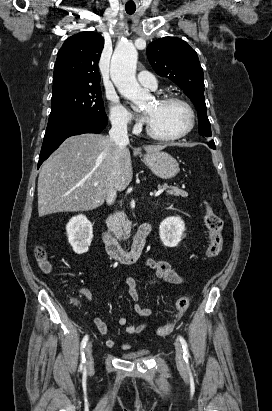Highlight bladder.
<instances>
[{
  "instance_id": "1",
  "label": "bladder",
  "mask_w": 272,
  "mask_h": 411,
  "mask_svg": "<svg viewBox=\"0 0 272 411\" xmlns=\"http://www.w3.org/2000/svg\"><path fill=\"white\" fill-rule=\"evenodd\" d=\"M146 356H147V353H133V354H126L123 356V358L127 360H138V359H143Z\"/></svg>"
}]
</instances>
